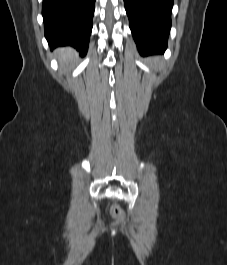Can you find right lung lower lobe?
<instances>
[{"mask_svg":"<svg viewBox=\"0 0 227 265\" xmlns=\"http://www.w3.org/2000/svg\"><path fill=\"white\" fill-rule=\"evenodd\" d=\"M94 9L95 0H43L44 32L51 49L70 45L85 55Z\"/></svg>","mask_w":227,"mask_h":265,"instance_id":"right-lung-lower-lobe-1","label":"right lung lower lobe"}]
</instances>
